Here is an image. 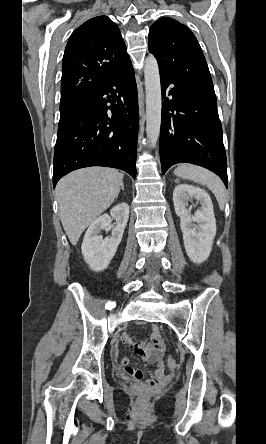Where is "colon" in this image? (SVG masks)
<instances>
[{
	"label": "colon",
	"mask_w": 266,
	"mask_h": 444,
	"mask_svg": "<svg viewBox=\"0 0 266 444\" xmlns=\"http://www.w3.org/2000/svg\"><path fill=\"white\" fill-rule=\"evenodd\" d=\"M167 365L169 369L174 370L176 368V361L172 357H168L167 359ZM140 403L145 404L147 402V397L145 395H142L139 399Z\"/></svg>",
	"instance_id": "5ec220e1"
}]
</instances>
